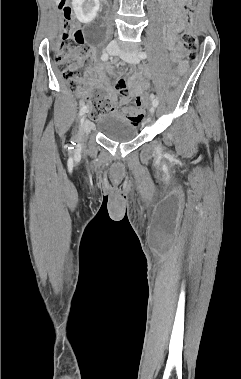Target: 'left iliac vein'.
<instances>
[{"label": "left iliac vein", "instance_id": "1", "mask_svg": "<svg viewBox=\"0 0 241 379\" xmlns=\"http://www.w3.org/2000/svg\"><path fill=\"white\" fill-rule=\"evenodd\" d=\"M117 55L124 61L131 64H136L140 61L138 53L135 51H121L120 50L117 52ZM154 113H155V106H152L150 108V114L153 115Z\"/></svg>", "mask_w": 241, "mask_h": 379}]
</instances>
